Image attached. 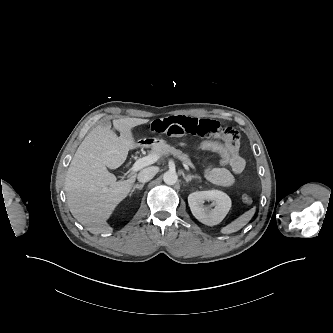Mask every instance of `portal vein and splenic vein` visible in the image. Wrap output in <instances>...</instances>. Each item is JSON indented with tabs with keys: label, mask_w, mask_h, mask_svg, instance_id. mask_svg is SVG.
Masks as SVG:
<instances>
[{
	"label": "portal vein and splenic vein",
	"mask_w": 333,
	"mask_h": 333,
	"mask_svg": "<svg viewBox=\"0 0 333 333\" xmlns=\"http://www.w3.org/2000/svg\"><path fill=\"white\" fill-rule=\"evenodd\" d=\"M159 158H160V156L157 155V154H150L148 156L142 157V158L138 159L133 164V166L131 168V171L132 172H137L140 169H142V168H144V167H146L148 165H151V164L155 163ZM190 166L194 167L192 163L190 164Z\"/></svg>",
	"instance_id": "18ae733b"
}]
</instances>
